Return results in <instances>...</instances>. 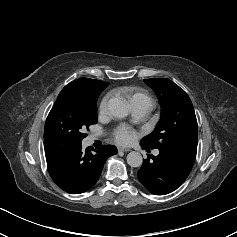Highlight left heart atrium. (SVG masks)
I'll use <instances>...</instances> for the list:
<instances>
[{
	"mask_svg": "<svg viewBox=\"0 0 237 237\" xmlns=\"http://www.w3.org/2000/svg\"><path fill=\"white\" fill-rule=\"evenodd\" d=\"M114 138L120 145H129L136 140L137 134L126 126H120L115 131Z\"/></svg>",
	"mask_w": 237,
	"mask_h": 237,
	"instance_id": "left-heart-atrium-1",
	"label": "left heart atrium"
}]
</instances>
